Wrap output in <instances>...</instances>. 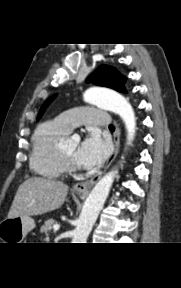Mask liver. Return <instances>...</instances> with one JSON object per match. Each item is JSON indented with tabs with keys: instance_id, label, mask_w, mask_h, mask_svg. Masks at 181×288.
I'll return each mask as SVG.
<instances>
[{
	"instance_id": "liver-1",
	"label": "liver",
	"mask_w": 181,
	"mask_h": 288,
	"mask_svg": "<svg viewBox=\"0 0 181 288\" xmlns=\"http://www.w3.org/2000/svg\"><path fill=\"white\" fill-rule=\"evenodd\" d=\"M67 193L68 186L61 181L30 177L18 187L8 218L42 215L58 209Z\"/></svg>"
}]
</instances>
